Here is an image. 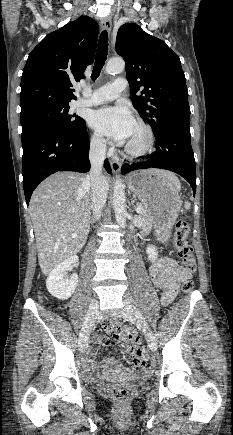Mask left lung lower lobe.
Segmentation results:
<instances>
[{"instance_id":"1","label":"left lung lower lobe","mask_w":233,"mask_h":435,"mask_svg":"<svg viewBox=\"0 0 233 435\" xmlns=\"http://www.w3.org/2000/svg\"><path fill=\"white\" fill-rule=\"evenodd\" d=\"M190 127L180 126L161 132L156 138V151L147 161L124 164L122 173L136 169L161 168L171 170L185 178L196 192V165L190 142Z\"/></svg>"}]
</instances>
